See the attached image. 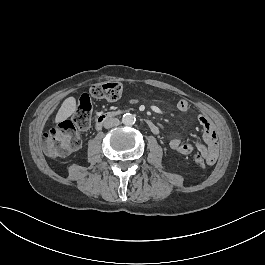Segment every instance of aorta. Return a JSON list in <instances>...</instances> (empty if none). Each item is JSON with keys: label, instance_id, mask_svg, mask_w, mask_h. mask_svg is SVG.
Segmentation results:
<instances>
[{"label": "aorta", "instance_id": "1", "mask_svg": "<svg viewBox=\"0 0 265 265\" xmlns=\"http://www.w3.org/2000/svg\"><path fill=\"white\" fill-rule=\"evenodd\" d=\"M136 121V118L131 113H125L122 117V123L126 126H132Z\"/></svg>", "mask_w": 265, "mask_h": 265}]
</instances>
